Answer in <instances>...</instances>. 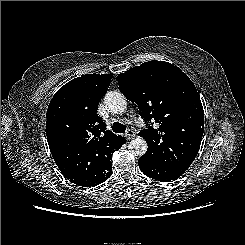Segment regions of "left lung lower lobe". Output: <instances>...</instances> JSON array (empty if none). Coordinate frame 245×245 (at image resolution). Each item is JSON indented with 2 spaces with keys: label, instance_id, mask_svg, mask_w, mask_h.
<instances>
[{
  "label": "left lung lower lobe",
  "instance_id": "obj_1",
  "mask_svg": "<svg viewBox=\"0 0 245 245\" xmlns=\"http://www.w3.org/2000/svg\"><path fill=\"white\" fill-rule=\"evenodd\" d=\"M139 168L141 171L150 178L159 180L162 182H170L178 179L185 171L178 169L166 168L153 164L140 157L138 160Z\"/></svg>",
  "mask_w": 245,
  "mask_h": 245
}]
</instances>
